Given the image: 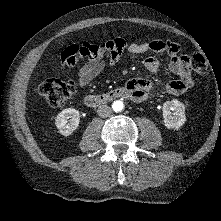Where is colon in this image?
Returning <instances> with one entry per match:
<instances>
[{
    "label": "colon",
    "mask_w": 221,
    "mask_h": 221,
    "mask_svg": "<svg viewBox=\"0 0 221 221\" xmlns=\"http://www.w3.org/2000/svg\"><path fill=\"white\" fill-rule=\"evenodd\" d=\"M79 56V49L76 45L69 46L61 53V59L66 65H73ZM190 67L198 74L207 73V64L202 54L196 52L186 57ZM38 92L45 101L54 107L64 106L75 92V86L72 81H63L59 78H49L43 81Z\"/></svg>",
    "instance_id": "5ec220e1"
}]
</instances>
